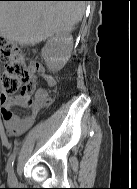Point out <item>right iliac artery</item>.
<instances>
[{
    "mask_svg": "<svg viewBox=\"0 0 137 189\" xmlns=\"http://www.w3.org/2000/svg\"><path fill=\"white\" fill-rule=\"evenodd\" d=\"M16 152H14L7 163L6 171L8 173V182L13 183L14 182V171H13V165L15 160Z\"/></svg>",
    "mask_w": 137,
    "mask_h": 189,
    "instance_id": "obj_1",
    "label": "right iliac artery"
}]
</instances>
